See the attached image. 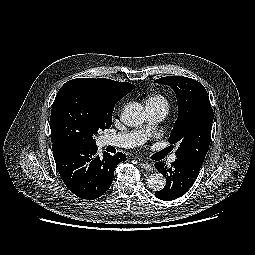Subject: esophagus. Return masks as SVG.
<instances>
[{"mask_svg":"<svg viewBox=\"0 0 255 255\" xmlns=\"http://www.w3.org/2000/svg\"><path fill=\"white\" fill-rule=\"evenodd\" d=\"M140 166H141L143 169H145V170H149V171L153 170V167H152L148 162H143V161H141V162H140Z\"/></svg>","mask_w":255,"mask_h":255,"instance_id":"obj_1","label":"esophagus"}]
</instances>
